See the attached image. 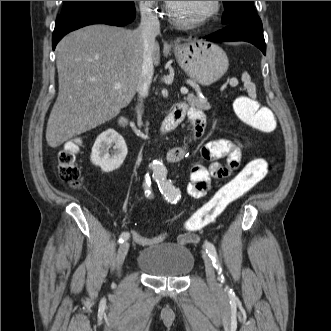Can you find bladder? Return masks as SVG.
I'll list each match as a JSON object with an SVG mask.
<instances>
[{
    "mask_svg": "<svg viewBox=\"0 0 331 331\" xmlns=\"http://www.w3.org/2000/svg\"><path fill=\"white\" fill-rule=\"evenodd\" d=\"M136 264L152 278L180 279L192 272L195 258L186 245L169 242L142 249Z\"/></svg>",
    "mask_w": 331,
    "mask_h": 331,
    "instance_id": "1",
    "label": "bladder"
}]
</instances>
